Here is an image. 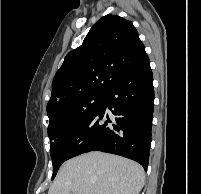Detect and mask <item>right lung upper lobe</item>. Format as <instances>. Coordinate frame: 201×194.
<instances>
[{
  "mask_svg": "<svg viewBox=\"0 0 201 194\" xmlns=\"http://www.w3.org/2000/svg\"><path fill=\"white\" fill-rule=\"evenodd\" d=\"M146 57L132 22L117 15L103 16L57 71L48 116L83 98L104 95Z\"/></svg>",
  "mask_w": 201,
  "mask_h": 194,
  "instance_id": "cb5924a9",
  "label": "right lung upper lobe"
}]
</instances>
